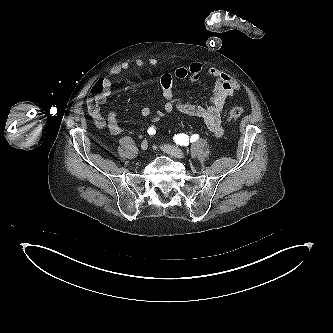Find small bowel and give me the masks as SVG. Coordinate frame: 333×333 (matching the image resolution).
I'll return each instance as SVG.
<instances>
[{
    "mask_svg": "<svg viewBox=\"0 0 333 333\" xmlns=\"http://www.w3.org/2000/svg\"><path fill=\"white\" fill-rule=\"evenodd\" d=\"M146 64L156 66L158 60L156 58H150L147 61L143 59H136L134 61V65L139 68L144 67ZM130 67L131 64L128 62H122L115 65L109 70L107 77L100 80L103 86L100 104H104L111 94L112 79L129 70ZM202 72V65L198 62H192L186 67H177L173 75L164 74L161 77L160 83L166 102L163 106V110L154 113V122L158 121L166 113H171L172 111L177 110L183 114L201 118L213 136L220 137L223 134L222 111L225 100L233 95L235 91L239 90V84L230 75L214 67L206 70L207 74L215 79L214 89L209 97V105L206 107L184 102L175 97L173 90L174 77L178 79H189L190 81L195 82L199 79ZM150 114L151 111L148 107L142 108V117L146 118L150 116ZM92 117L96 127L101 130L106 129L115 136H119L124 132V129L118 125L117 113L114 111L109 112L106 118H104L100 112L92 114Z\"/></svg>",
    "mask_w": 333,
    "mask_h": 333,
    "instance_id": "1",
    "label": "small bowel"
}]
</instances>
